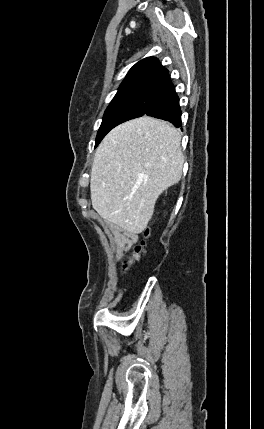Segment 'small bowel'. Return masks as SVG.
<instances>
[{
	"label": "small bowel",
	"mask_w": 264,
	"mask_h": 429,
	"mask_svg": "<svg viewBox=\"0 0 264 429\" xmlns=\"http://www.w3.org/2000/svg\"><path fill=\"white\" fill-rule=\"evenodd\" d=\"M136 240V234L130 231L121 228L111 230V243L116 252L129 249Z\"/></svg>",
	"instance_id": "c3829d8e"
}]
</instances>
